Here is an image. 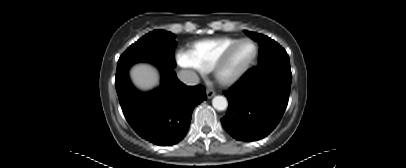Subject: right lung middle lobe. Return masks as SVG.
<instances>
[{
    "label": "right lung middle lobe",
    "mask_w": 406,
    "mask_h": 168,
    "mask_svg": "<svg viewBox=\"0 0 406 168\" xmlns=\"http://www.w3.org/2000/svg\"><path fill=\"white\" fill-rule=\"evenodd\" d=\"M175 35L164 30L152 31L132 44L119 58L117 73L127 72L129 66L138 61H149L159 67L175 66Z\"/></svg>",
    "instance_id": "obj_1"
}]
</instances>
